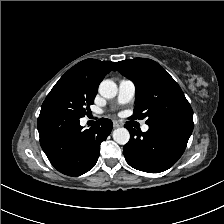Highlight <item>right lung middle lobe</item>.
<instances>
[{"instance_id":"1","label":"right lung middle lobe","mask_w":224,"mask_h":224,"mask_svg":"<svg viewBox=\"0 0 224 224\" xmlns=\"http://www.w3.org/2000/svg\"><path fill=\"white\" fill-rule=\"evenodd\" d=\"M97 92L64 75L52 88L41 110H55L77 118L84 117Z\"/></svg>"}]
</instances>
